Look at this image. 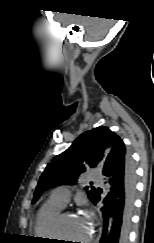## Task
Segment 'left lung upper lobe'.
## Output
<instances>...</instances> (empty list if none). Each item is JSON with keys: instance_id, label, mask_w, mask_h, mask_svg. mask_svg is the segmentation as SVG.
<instances>
[{"instance_id": "left-lung-upper-lobe-1", "label": "left lung upper lobe", "mask_w": 154, "mask_h": 243, "mask_svg": "<svg viewBox=\"0 0 154 243\" xmlns=\"http://www.w3.org/2000/svg\"><path fill=\"white\" fill-rule=\"evenodd\" d=\"M123 141L109 128L100 126L81 134L63 153L47 165L36 187L33 201L47 189L61 184H74L80 173L88 167H102L107 157L124 150ZM88 198L93 201L98 189L85 187Z\"/></svg>"}]
</instances>
